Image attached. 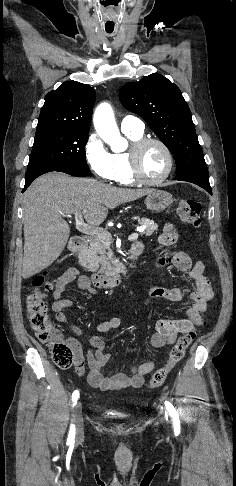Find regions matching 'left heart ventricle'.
<instances>
[{"label": "left heart ventricle", "instance_id": "obj_1", "mask_svg": "<svg viewBox=\"0 0 236 486\" xmlns=\"http://www.w3.org/2000/svg\"><path fill=\"white\" fill-rule=\"evenodd\" d=\"M141 171L148 179L160 178L167 168V159L164 151L157 144H150L141 153Z\"/></svg>", "mask_w": 236, "mask_h": 486}]
</instances>
